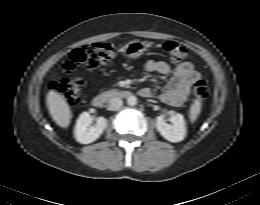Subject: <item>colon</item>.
<instances>
[{"instance_id":"obj_1","label":"colon","mask_w":260,"mask_h":205,"mask_svg":"<svg viewBox=\"0 0 260 205\" xmlns=\"http://www.w3.org/2000/svg\"><path fill=\"white\" fill-rule=\"evenodd\" d=\"M168 59L173 63L182 62L187 56V49L173 41L163 46ZM116 57V46L110 42L92 43L72 51L69 59L63 64L62 70L66 75L85 65L90 69L110 63ZM50 87L60 92L70 103H76L82 92L83 82L77 77H63L51 82ZM208 83L200 79L193 85V93L199 99L209 96Z\"/></svg>"}]
</instances>
